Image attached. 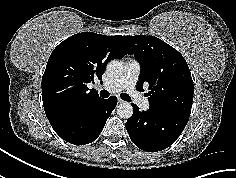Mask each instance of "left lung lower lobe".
Masks as SVG:
<instances>
[{"instance_id":"left-lung-lower-lobe-1","label":"left lung lower lobe","mask_w":236,"mask_h":178,"mask_svg":"<svg viewBox=\"0 0 236 178\" xmlns=\"http://www.w3.org/2000/svg\"><path fill=\"white\" fill-rule=\"evenodd\" d=\"M132 107L134 112L127 120L126 129L133 143L146 152H157L169 147L188 122V118L152 107L147 111H139L135 104Z\"/></svg>"}]
</instances>
